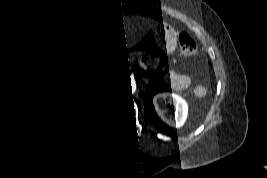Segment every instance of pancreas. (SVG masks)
I'll list each match as a JSON object with an SVG mask.
<instances>
[{
	"instance_id": "obj_1",
	"label": "pancreas",
	"mask_w": 267,
	"mask_h": 178,
	"mask_svg": "<svg viewBox=\"0 0 267 178\" xmlns=\"http://www.w3.org/2000/svg\"><path fill=\"white\" fill-rule=\"evenodd\" d=\"M134 60H136V59H131V61H134ZM142 60H145L146 65L153 68L154 70L160 69L161 60L159 57H152V56L147 55V54L138 53L137 54V61L142 62Z\"/></svg>"
}]
</instances>
